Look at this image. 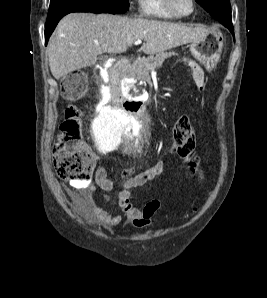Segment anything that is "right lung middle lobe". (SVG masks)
<instances>
[{"label":"right lung middle lobe","mask_w":267,"mask_h":298,"mask_svg":"<svg viewBox=\"0 0 267 298\" xmlns=\"http://www.w3.org/2000/svg\"><path fill=\"white\" fill-rule=\"evenodd\" d=\"M128 0H51L47 22L70 12L125 13Z\"/></svg>","instance_id":"right-lung-middle-lobe-1"}]
</instances>
